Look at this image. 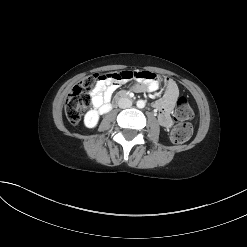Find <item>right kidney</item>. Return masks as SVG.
Listing matches in <instances>:
<instances>
[{
    "label": "right kidney",
    "mask_w": 247,
    "mask_h": 247,
    "mask_svg": "<svg viewBox=\"0 0 247 247\" xmlns=\"http://www.w3.org/2000/svg\"><path fill=\"white\" fill-rule=\"evenodd\" d=\"M99 121V113L97 110H89L84 117V124L87 128H94Z\"/></svg>",
    "instance_id": "1"
}]
</instances>
